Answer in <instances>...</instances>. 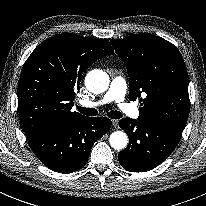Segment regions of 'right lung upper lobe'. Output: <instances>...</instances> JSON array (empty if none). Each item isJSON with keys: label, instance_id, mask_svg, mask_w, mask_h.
<instances>
[{"label": "right lung upper lobe", "instance_id": "1", "mask_svg": "<svg viewBox=\"0 0 206 206\" xmlns=\"http://www.w3.org/2000/svg\"><path fill=\"white\" fill-rule=\"evenodd\" d=\"M107 39L72 33L42 42L25 62L18 84V112L26 136L67 127L86 118L71 111L82 73L113 54Z\"/></svg>", "mask_w": 206, "mask_h": 206}]
</instances>
